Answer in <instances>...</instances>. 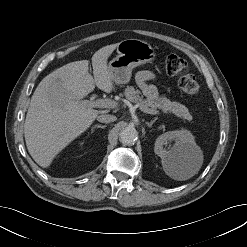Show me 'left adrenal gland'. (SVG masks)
<instances>
[{
  "mask_svg": "<svg viewBox=\"0 0 247 247\" xmlns=\"http://www.w3.org/2000/svg\"><path fill=\"white\" fill-rule=\"evenodd\" d=\"M157 120V118H155L154 120H152L150 123H146L148 127H152V125L155 123V121Z\"/></svg>",
  "mask_w": 247,
  "mask_h": 247,
  "instance_id": "a2214340",
  "label": "left adrenal gland"
}]
</instances>
